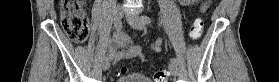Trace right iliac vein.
I'll return each instance as SVG.
<instances>
[{
  "mask_svg": "<svg viewBox=\"0 0 279 82\" xmlns=\"http://www.w3.org/2000/svg\"><path fill=\"white\" fill-rule=\"evenodd\" d=\"M123 16V9L121 7H117L115 10V18L120 20ZM110 67V59L109 58H105L102 64V68L104 71H106L107 69H109Z\"/></svg>",
  "mask_w": 279,
  "mask_h": 82,
  "instance_id": "63e3f726",
  "label": "right iliac vein"
}]
</instances>
